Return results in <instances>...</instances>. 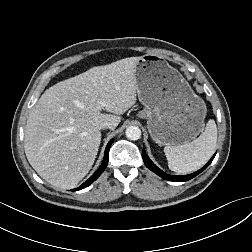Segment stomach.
Returning a JSON list of instances; mask_svg holds the SVG:
<instances>
[{"label":"stomach","mask_w":252,"mask_h":252,"mask_svg":"<svg viewBox=\"0 0 252 252\" xmlns=\"http://www.w3.org/2000/svg\"><path fill=\"white\" fill-rule=\"evenodd\" d=\"M138 117L147 120L151 138L159 145L178 146L202 131L206 105L183 76L161 56L146 54L135 68Z\"/></svg>","instance_id":"1"}]
</instances>
